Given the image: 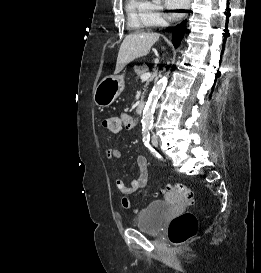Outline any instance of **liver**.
I'll list each match as a JSON object with an SVG mask.
<instances>
[{
    "instance_id": "6515ba94",
    "label": "liver",
    "mask_w": 261,
    "mask_h": 273,
    "mask_svg": "<svg viewBox=\"0 0 261 273\" xmlns=\"http://www.w3.org/2000/svg\"><path fill=\"white\" fill-rule=\"evenodd\" d=\"M160 35L154 32L132 33L123 40L117 57L115 74H118L128 63L146 56ZM157 52L155 51V54Z\"/></svg>"
}]
</instances>
